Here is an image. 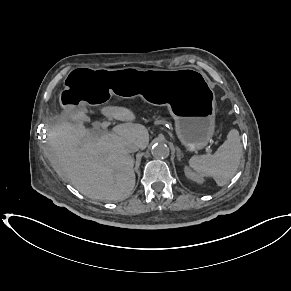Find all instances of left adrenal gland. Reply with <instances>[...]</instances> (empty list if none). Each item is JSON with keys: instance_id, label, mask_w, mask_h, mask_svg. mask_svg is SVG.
<instances>
[{"instance_id": "obj_1", "label": "left adrenal gland", "mask_w": 291, "mask_h": 291, "mask_svg": "<svg viewBox=\"0 0 291 291\" xmlns=\"http://www.w3.org/2000/svg\"><path fill=\"white\" fill-rule=\"evenodd\" d=\"M183 157V154L181 153V151L179 149H177V158L180 161L181 158Z\"/></svg>"}]
</instances>
